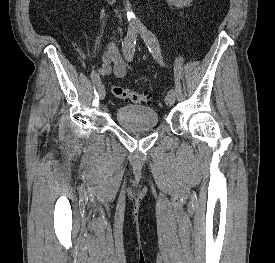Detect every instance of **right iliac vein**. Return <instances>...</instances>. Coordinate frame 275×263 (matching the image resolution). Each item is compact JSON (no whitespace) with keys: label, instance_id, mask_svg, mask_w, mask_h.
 <instances>
[{"label":"right iliac vein","instance_id":"obj_1","mask_svg":"<svg viewBox=\"0 0 275 263\" xmlns=\"http://www.w3.org/2000/svg\"><path fill=\"white\" fill-rule=\"evenodd\" d=\"M98 93H99L100 99H103L105 97L106 91H105L104 85L100 84L98 86Z\"/></svg>","mask_w":275,"mask_h":263}]
</instances>
